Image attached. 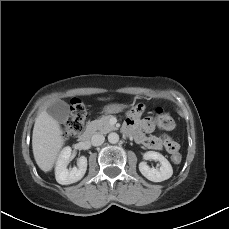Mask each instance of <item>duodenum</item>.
Returning a JSON list of instances; mask_svg holds the SVG:
<instances>
[{"instance_id":"410a0bca","label":"duodenum","mask_w":229,"mask_h":229,"mask_svg":"<svg viewBox=\"0 0 229 229\" xmlns=\"http://www.w3.org/2000/svg\"><path fill=\"white\" fill-rule=\"evenodd\" d=\"M93 135H94V129L90 128L79 137V142L83 144L88 143L91 140Z\"/></svg>"}]
</instances>
